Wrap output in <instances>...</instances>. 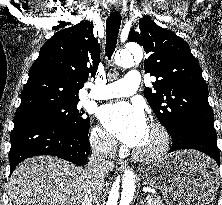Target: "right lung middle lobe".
<instances>
[{"instance_id": "1", "label": "right lung middle lobe", "mask_w": 222, "mask_h": 205, "mask_svg": "<svg viewBox=\"0 0 222 205\" xmlns=\"http://www.w3.org/2000/svg\"><path fill=\"white\" fill-rule=\"evenodd\" d=\"M78 102L79 101L69 103H45L27 111L16 112L14 119L29 117L45 118L65 128L88 133L90 119L83 116L85 111L77 107Z\"/></svg>"}]
</instances>
